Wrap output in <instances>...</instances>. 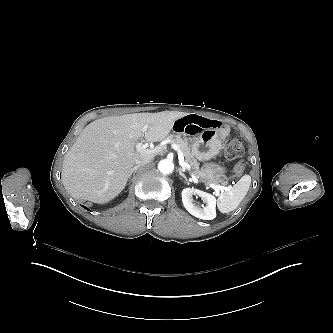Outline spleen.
<instances>
[{"label": "spleen", "instance_id": "1", "mask_svg": "<svg viewBox=\"0 0 333 333\" xmlns=\"http://www.w3.org/2000/svg\"><path fill=\"white\" fill-rule=\"evenodd\" d=\"M251 177L244 175L236 184L229 186L217 198V208L221 213L234 211L249 191Z\"/></svg>", "mask_w": 333, "mask_h": 333}]
</instances>
